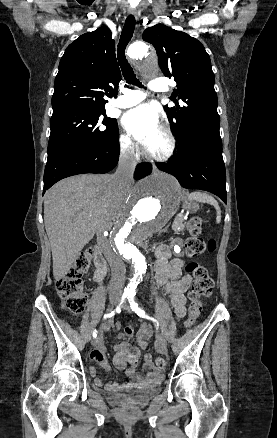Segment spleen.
I'll return each mask as SVG.
<instances>
[{
    "mask_svg": "<svg viewBox=\"0 0 277 438\" xmlns=\"http://www.w3.org/2000/svg\"><path fill=\"white\" fill-rule=\"evenodd\" d=\"M190 200H196V202H206V204H211V206H214L217 216H216V222L217 224H220L221 222V210L219 208L218 202L212 198V196H208V194H203V192H192V194H189Z\"/></svg>",
    "mask_w": 277,
    "mask_h": 438,
    "instance_id": "1",
    "label": "spleen"
}]
</instances>
